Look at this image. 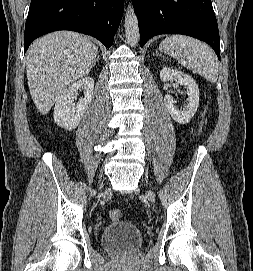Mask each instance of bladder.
I'll list each match as a JSON object with an SVG mask.
<instances>
[{
	"label": "bladder",
	"mask_w": 253,
	"mask_h": 271,
	"mask_svg": "<svg viewBox=\"0 0 253 271\" xmlns=\"http://www.w3.org/2000/svg\"><path fill=\"white\" fill-rule=\"evenodd\" d=\"M101 247L108 252L133 253L143 245L140 229L129 221H114L106 225L99 235Z\"/></svg>",
	"instance_id": "bladder-1"
}]
</instances>
